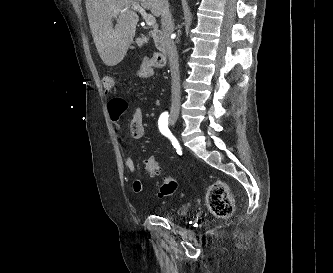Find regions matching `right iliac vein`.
Segmentation results:
<instances>
[{
  "mask_svg": "<svg viewBox=\"0 0 333 273\" xmlns=\"http://www.w3.org/2000/svg\"><path fill=\"white\" fill-rule=\"evenodd\" d=\"M177 121H178V114L176 112H171L170 113V122H171V124L173 126H175Z\"/></svg>",
  "mask_w": 333,
  "mask_h": 273,
  "instance_id": "63e3f726",
  "label": "right iliac vein"
}]
</instances>
